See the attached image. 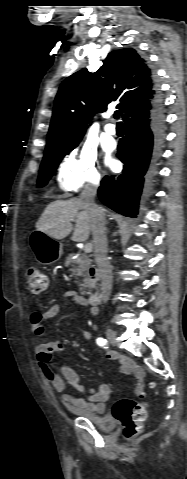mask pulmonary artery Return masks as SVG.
<instances>
[{"mask_svg": "<svg viewBox=\"0 0 187 479\" xmlns=\"http://www.w3.org/2000/svg\"><path fill=\"white\" fill-rule=\"evenodd\" d=\"M104 129H105V132L109 135H115L117 132L116 126L113 123L106 124Z\"/></svg>", "mask_w": 187, "mask_h": 479, "instance_id": "e3ab8cb5", "label": "pulmonary artery"}]
</instances>
